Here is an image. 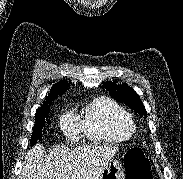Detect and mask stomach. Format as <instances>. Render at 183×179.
<instances>
[{
    "mask_svg": "<svg viewBox=\"0 0 183 179\" xmlns=\"http://www.w3.org/2000/svg\"><path fill=\"white\" fill-rule=\"evenodd\" d=\"M99 179H125L122 164L118 160L112 159L105 166Z\"/></svg>",
    "mask_w": 183,
    "mask_h": 179,
    "instance_id": "obj_1",
    "label": "stomach"
}]
</instances>
